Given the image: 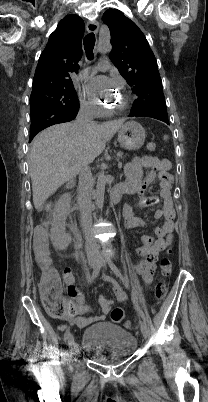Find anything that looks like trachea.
<instances>
[{
	"mask_svg": "<svg viewBox=\"0 0 208 402\" xmlns=\"http://www.w3.org/2000/svg\"><path fill=\"white\" fill-rule=\"evenodd\" d=\"M84 49L86 53V57L88 60H92L94 58L93 49L95 46V34L88 33L83 40Z\"/></svg>",
	"mask_w": 208,
	"mask_h": 402,
	"instance_id": "trachea-1",
	"label": "trachea"
}]
</instances>
